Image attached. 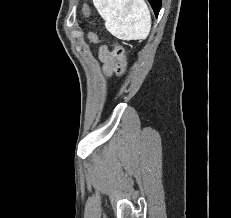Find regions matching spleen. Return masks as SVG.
<instances>
[{"label": "spleen", "mask_w": 231, "mask_h": 218, "mask_svg": "<svg viewBox=\"0 0 231 218\" xmlns=\"http://www.w3.org/2000/svg\"><path fill=\"white\" fill-rule=\"evenodd\" d=\"M106 29L122 40L146 39L151 30V15L144 0H93Z\"/></svg>", "instance_id": "1"}]
</instances>
